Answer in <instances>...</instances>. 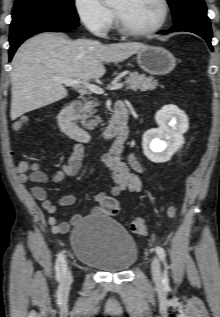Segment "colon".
Instances as JSON below:
<instances>
[{
	"mask_svg": "<svg viewBox=\"0 0 220 317\" xmlns=\"http://www.w3.org/2000/svg\"><path fill=\"white\" fill-rule=\"evenodd\" d=\"M23 121H19L16 123V126H20L22 124ZM119 204L118 202L112 198L109 197L107 198L104 203H103V211L104 214L108 215V216H115L118 214L119 212ZM175 214V209L174 207H169L168 208V215L169 216H174ZM130 227L131 230L136 233V234H145L147 232V222L140 217H135L131 220L130 222Z\"/></svg>",
	"mask_w": 220,
	"mask_h": 317,
	"instance_id": "1",
	"label": "colon"
}]
</instances>
